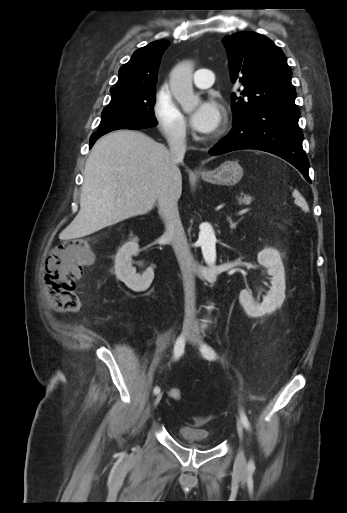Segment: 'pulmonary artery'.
Returning <instances> with one entry per match:
<instances>
[{
	"mask_svg": "<svg viewBox=\"0 0 347 513\" xmlns=\"http://www.w3.org/2000/svg\"><path fill=\"white\" fill-rule=\"evenodd\" d=\"M215 79L214 72L209 69H198L194 73V84L196 87L200 89H205L210 87Z\"/></svg>",
	"mask_w": 347,
	"mask_h": 513,
	"instance_id": "pulmonary-artery-1",
	"label": "pulmonary artery"
}]
</instances>
